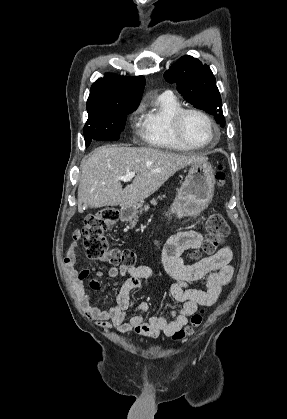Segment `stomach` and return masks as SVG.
Here are the masks:
<instances>
[{"mask_svg": "<svg viewBox=\"0 0 287 419\" xmlns=\"http://www.w3.org/2000/svg\"><path fill=\"white\" fill-rule=\"evenodd\" d=\"M214 184V170L209 162L192 164L178 190L170 214H176L179 218L199 215L208 207L213 198ZM140 206H122L119 211L120 220L135 223Z\"/></svg>", "mask_w": 287, "mask_h": 419, "instance_id": "stomach-1", "label": "stomach"}]
</instances>
